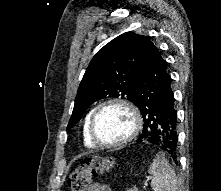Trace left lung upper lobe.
Here are the masks:
<instances>
[{"label":"left lung upper lobe","mask_w":221,"mask_h":191,"mask_svg":"<svg viewBox=\"0 0 221 191\" xmlns=\"http://www.w3.org/2000/svg\"><path fill=\"white\" fill-rule=\"evenodd\" d=\"M149 41L146 36L127 32L95 54L80 83L67 130L100 99L120 97L136 103L135 86Z\"/></svg>","instance_id":"obj_1"}]
</instances>
